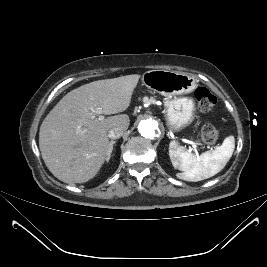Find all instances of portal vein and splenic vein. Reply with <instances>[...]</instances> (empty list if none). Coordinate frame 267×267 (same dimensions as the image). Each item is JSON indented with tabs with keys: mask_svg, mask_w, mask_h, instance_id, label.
I'll list each match as a JSON object with an SVG mask.
<instances>
[{
	"mask_svg": "<svg viewBox=\"0 0 267 267\" xmlns=\"http://www.w3.org/2000/svg\"><path fill=\"white\" fill-rule=\"evenodd\" d=\"M93 112L96 113V114H102V110H101V108H96L95 110H93ZM98 119H99V120H103V119H104V116L100 115ZM189 144H192V147H193V148L190 147L189 150H190V151L194 150L195 153L198 155V152H197V150L195 149V146L193 145V143L189 142Z\"/></svg>",
	"mask_w": 267,
	"mask_h": 267,
	"instance_id": "portal-vein-and-splenic-vein-1",
	"label": "portal vein and splenic vein"
}]
</instances>
